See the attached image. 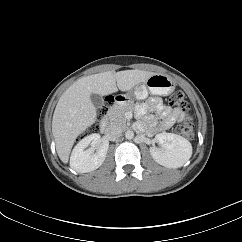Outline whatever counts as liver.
Listing matches in <instances>:
<instances>
[{
    "instance_id": "obj_1",
    "label": "liver",
    "mask_w": 242,
    "mask_h": 242,
    "mask_svg": "<svg viewBox=\"0 0 242 242\" xmlns=\"http://www.w3.org/2000/svg\"><path fill=\"white\" fill-rule=\"evenodd\" d=\"M154 74L137 69L107 71L73 83L60 97L52 119V133L61 161L68 163L76 138L96 121V108L90 99L92 93L104 96L118 89L128 91Z\"/></svg>"
}]
</instances>
